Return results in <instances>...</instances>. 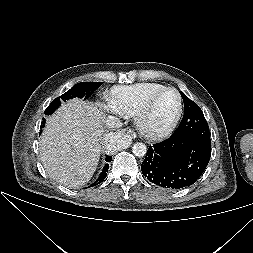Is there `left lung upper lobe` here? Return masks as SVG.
Masks as SVG:
<instances>
[{
	"label": "left lung upper lobe",
	"mask_w": 253,
	"mask_h": 253,
	"mask_svg": "<svg viewBox=\"0 0 253 253\" xmlns=\"http://www.w3.org/2000/svg\"><path fill=\"white\" fill-rule=\"evenodd\" d=\"M184 116L177 130L172 134L177 138H193L211 144L209 126L200 107L183 92Z\"/></svg>",
	"instance_id": "1"
}]
</instances>
